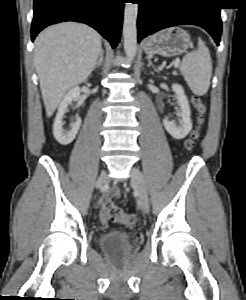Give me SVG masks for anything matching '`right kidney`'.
Returning a JSON list of instances; mask_svg holds the SVG:
<instances>
[{
  "label": "right kidney",
  "mask_w": 246,
  "mask_h": 300,
  "mask_svg": "<svg viewBox=\"0 0 246 300\" xmlns=\"http://www.w3.org/2000/svg\"><path fill=\"white\" fill-rule=\"evenodd\" d=\"M80 96V88L78 86L73 87L63 98L61 101L58 112L56 114L54 124H53V134L55 139L62 145L70 144L76 137V134L81 125V119L77 118V120L71 125V129L69 131L63 130V116L67 110V106L75 99Z\"/></svg>",
  "instance_id": "obj_1"
}]
</instances>
